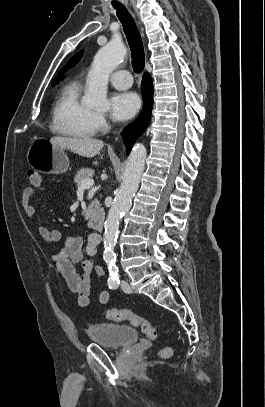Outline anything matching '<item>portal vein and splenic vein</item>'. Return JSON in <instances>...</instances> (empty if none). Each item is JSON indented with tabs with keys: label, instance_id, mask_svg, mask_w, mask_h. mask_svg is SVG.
Returning a JSON list of instances; mask_svg holds the SVG:
<instances>
[{
	"label": "portal vein and splenic vein",
	"instance_id": "1",
	"mask_svg": "<svg viewBox=\"0 0 265 407\" xmlns=\"http://www.w3.org/2000/svg\"><path fill=\"white\" fill-rule=\"evenodd\" d=\"M94 185V180L86 179L82 181L81 185L78 187L79 189H89Z\"/></svg>",
	"mask_w": 265,
	"mask_h": 407
}]
</instances>
